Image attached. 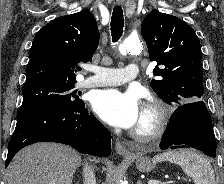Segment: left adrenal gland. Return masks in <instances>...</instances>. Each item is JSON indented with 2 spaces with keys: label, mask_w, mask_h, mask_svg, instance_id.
Listing matches in <instances>:
<instances>
[{
  "label": "left adrenal gland",
  "mask_w": 224,
  "mask_h": 184,
  "mask_svg": "<svg viewBox=\"0 0 224 184\" xmlns=\"http://www.w3.org/2000/svg\"><path fill=\"white\" fill-rule=\"evenodd\" d=\"M137 184H142V181H141V180H139V181L137 182Z\"/></svg>",
  "instance_id": "a2214340"
}]
</instances>
